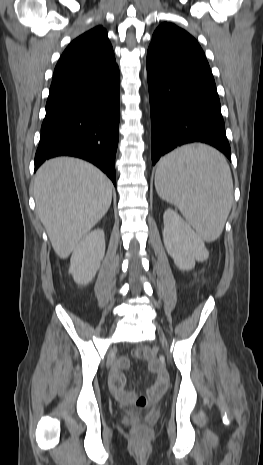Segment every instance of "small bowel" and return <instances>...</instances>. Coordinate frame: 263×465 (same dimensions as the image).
<instances>
[{
	"label": "small bowel",
	"instance_id": "1",
	"mask_svg": "<svg viewBox=\"0 0 263 465\" xmlns=\"http://www.w3.org/2000/svg\"><path fill=\"white\" fill-rule=\"evenodd\" d=\"M129 366V358L121 357L116 360L109 377V385L115 397L122 401L128 402L135 398V395L125 390L126 378L123 371ZM156 379L153 385L149 388V395L155 393L161 394L167 384V374L162 369L156 368ZM139 399V398H138Z\"/></svg>",
	"mask_w": 263,
	"mask_h": 465
}]
</instances>
